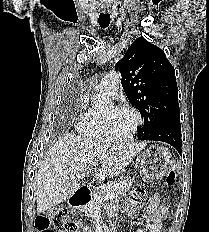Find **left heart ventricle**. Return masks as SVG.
I'll list each match as a JSON object with an SVG mask.
<instances>
[{"mask_svg":"<svg viewBox=\"0 0 209 232\" xmlns=\"http://www.w3.org/2000/svg\"><path fill=\"white\" fill-rule=\"evenodd\" d=\"M105 115L108 117L111 133L116 136L126 135L134 127L135 117L129 111L110 108Z\"/></svg>","mask_w":209,"mask_h":232,"instance_id":"obj_1","label":"left heart ventricle"}]
</instances>
